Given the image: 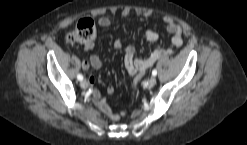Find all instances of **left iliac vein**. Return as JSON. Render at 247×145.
I'll return each instance as SVG.
<instances>
[{
  "label": "left iliac vein",
  "mask_w": 247,
  "mask_h": 145,
  "mask_svg": "<svg viewBox=\"0 0 247 145\" xmlns=\"http://www.w3.org/2000/svg\"><path fill=\"white\" fill-rule=\"evenodd\" d=\"M157 79L156 77H151L148 81H147V87L148 88H152L156 85Z\"/></svg>",
  "instance_id": "4c4485c4"
}]
</instances>
